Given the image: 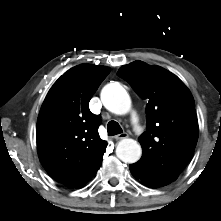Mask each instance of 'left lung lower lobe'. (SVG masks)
Returning a JSON list of instances; mask_svg holds the SVG:
<instances>
[{
  "label": "left lung lower lobe",
  "mask_w": 221,
  "mask_h": 221,
  "mask_svg": "<svg viewBox=\"0 0 221 221\" xmlns=\"http://www.w3.org/2000/svg\"><path fill=\"white\" fill-rule=\"evenodd\" d=\"M130 171H131V173H132L135 177H138V176H139L138 170L136 169V167L134 166V164H131V165H130Z\"/></svg>",
  "instance_id": "obj_1"
}]
</instances>
